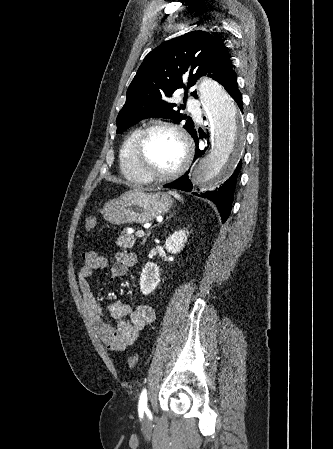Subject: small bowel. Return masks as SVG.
<instances>
[{
	"mask_svg": "<svg viewBox=\"0 0 333 449\" xmlns=\"http://www.w3.org/2000/svg\"><path fill=\"white\" fill-rule=\"evenodd\" d=\"M82 261L77 279L85 312L101 341L113 351H123L134 344L140 332L153 322L155 310L148 304H138L132 307L121 301H114L108 306V312L114 319V324L106 321L104 309L97 302L89 279L94 270L106 267L108 261L94 251L84 252ZM135 262L134 254L117 253L110 267V280L122 277Z\"/></svg>",
	"mask_w": 333,
	"mask_h": 449,
	"instance_id": "small-bowel-1",
	"label": "small bowel"
}]
</instances>
